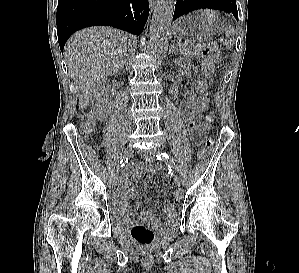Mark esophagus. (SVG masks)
I'll return each instance as SVG.
<instances>
[{"label":"esophagus","mask_w":299,"mask_h":273,"mask_svg":"<svg viewBox=\"0 0 299 273\" xmlns=\"http://www.w3.org/2000/svg\"><path fill=\"white\" fill-rule=\"evenodd\" d=\"M155 4H156V0H149V7L151 10H153Z\"/></svg>","instance_id":"1"}]
</instances>
